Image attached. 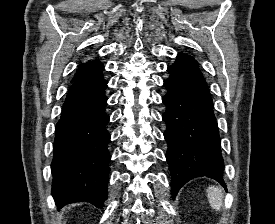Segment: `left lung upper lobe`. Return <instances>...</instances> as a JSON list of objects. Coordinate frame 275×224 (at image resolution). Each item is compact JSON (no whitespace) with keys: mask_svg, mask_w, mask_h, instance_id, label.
Here are the masks:
<instances>
[{"mask_svg":"<svg viewBox=\"0 0 275 224\" xmlns=\"http://www.w3.org/2000/svg\"><path fill=\"white\" fill-rule=\"evenodd\" d=\"M174 70L199 68L197 61L189 55L179 53L177 59L173 65L169 67Z\"/></svg>","mask_w":275,"mask_h":224,"instance_id":"5c2ea615","label":"left lung upper lobe"}]
</instances>
